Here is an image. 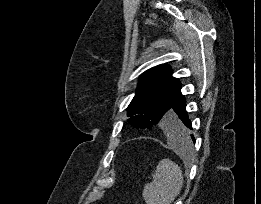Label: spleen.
Wrapping results in <instances>:
<instances>
[{"mask_svg": "<svg viewBox=\"0 0 261 204\" xmlns=\"http://www.w3.org/2000/svg\"><path fill=\"white\" fill-rule=\"evenodd\" d=\"M175 150L181 154L190 152V137L186 141H176L169 137ZM153 180L145 184L142 196L146 204H171L183 186V175L180 167L170 159H162L152 174Z\"/></svg>", "mask_w": 261, "mask_h": 204, "instance_id": "spleen-1", "label": "spleen"}]
</instances>
